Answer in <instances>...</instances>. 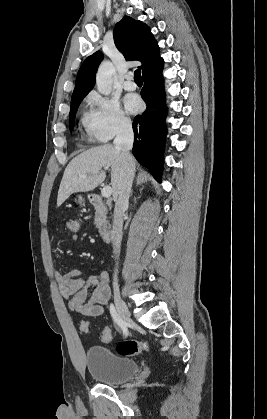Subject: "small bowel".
Masks as SVG:
<instances>
[{"label":"small bowel","mask_w":267,"mask_h":419,"mask_svg":"<svg viewBox=\"0 0 267 419\" xmlns=\"http://www.w3.org/2000/svg\"><path fill=\"white\" fill-rule=\"evenodd\" d=\"M71 240L77 242L79 236H71ZM54 277L69 310L85 316H100L105 312L110 298V277L107 271L85 274L80 269H71L65 273L56 270ZM92 287L94 291L88 299Z\"/></svg>","instance_id":"1"}]
</instances>
